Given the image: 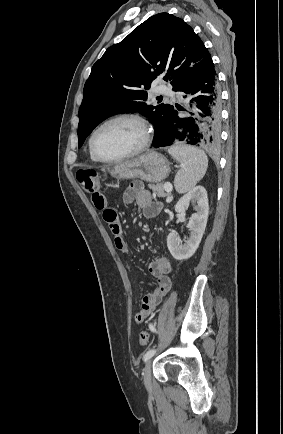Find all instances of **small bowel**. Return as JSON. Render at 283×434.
Masks as SVG:
<instances>
[{
    "label": "small bowel",
    "mask_w": 283,
    "mask_h": 434,
    "mask_svg": "<svg viewBox=\"0 0 283 434\" xmlns=\"http://www.w3.org/2000/svg\"><path fill=\"white\" fill-rule=\"evenodd\" d=\"M122 201L124 203H136L146 218L156 217L162 209V205L153 201L151 193L144 188L141 182L131 183L124 190ZM92 202L97 209L102 210L103 218L113 234L115 246L123 253H130L119 217L114 209L108 207V198L97 191L92 194ZM148 269L155 279V284L151 291L143 297L141 307L134 316V322L137 325L142 324L154 312L171 288L169 274L172 271V266L166 257L154 256Z\"/></svg>",
    "instance_id": "1"
}]
</instances>
